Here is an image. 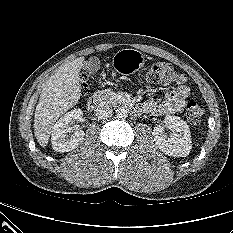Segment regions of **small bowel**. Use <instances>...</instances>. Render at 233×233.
Listing matches in <instances>:
<instances>
[{
    "label": "small bowel",
    "instance_id": "c3829d8e",
    "mask_svg": "<svg viewBox=\"0 0 233 233\" xmlns=\"http://www.w3.org/2000/svg\"><path fill=\"white\" fill-rule=\"evenodd\" d=\"M190 95V89L186 85H180L175 90L164 94L161 101L150 99L142 106V111L152 115H168L178 112Z\"/></svg>",
    "mask_w": 233,
    "mask_h": 233
}]
</instances>
